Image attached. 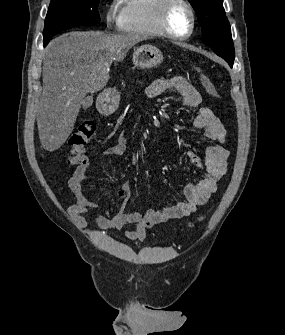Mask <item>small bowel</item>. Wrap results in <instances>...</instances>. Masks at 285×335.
<instances>
[{"label": "small bowel", "mask_w": 285, "mask_h": 335, "mask_svg": "<svg viewBox=\"0 0 285 335\" xmlns=\"http://www.w3.org/2000/svg\"><path fill=\"white\" fill-rule=\"evenodd\" d=\"M169 91L177 93L185 105L197 109L193 125L203 130L205 137L212 142L206 150L203 162L194 153H188L193 165L204 172L203 178L197 183H188L184 189L185 200L172 206L150 209L144 214L129 213L122 207L116 214H112L109 211H98L97 204L85 194L83 186L89 180L91 168L88 163L80 165L69 181L70 190L76 198V203L69 207V213L80 227L86 228L87 218L104 230H119L125 225H133L126 231L127 238L132 241H143L148 229L171 219L191 215L216 192L219 181L227 172L229 158V151L222 146L226 138L225 127L210 108L201 106L200 93L185 78L157 79L149 85L147 94L155 98ZM126 144V136L121 135L114 144L103 151V155L122 157L126 153ZM128 194L129 185L123 183L118 191V198L124 201Z\"/></svg>", "instance_id": "1"}]
</instances>
